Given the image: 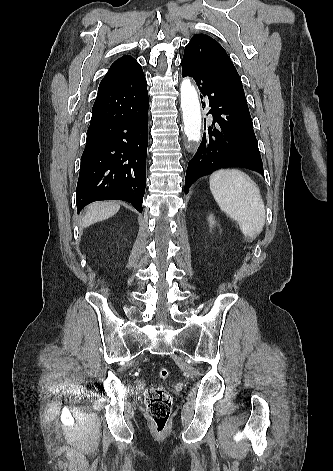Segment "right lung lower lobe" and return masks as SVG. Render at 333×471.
Segmentation results:
<instances>
[{"label":"right lung lower lobe","instance_id":"1","mask_svg":"<svg viewBox=\"0 0 333 471\" xmlns=\"http://www.w3.org/2000/svg\"><path fill=\"white\" fill-rule=\"evenodd\" d=\"M147 145L148 92L142 71L126 86L97 95L81 158L78 211L93 201L119 199L142 212Z\"/></svg>","mask_w":333,"mask_h":471}]
</instances>
